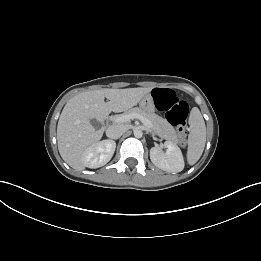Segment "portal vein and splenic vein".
<instances>
[{
	"label": "portal vein and splenic vein",
	"mask_w": 261,
	"mask_h": 261,
	"mask_svg": "<svg viewBox=\"0 0 261 261\" xmlns=\"http://www.w3.org/2000/svg\"><path fill=\"white\" fill-rule=\"evenodd\" d=\"M134 118L139 119L147 128L152 127L151 122L139 114L119 115L115 118V122L124 123V122H128L130 119H134Z\"/></svg>",
	"instance_id": "obj_1"
}]
</instances>
